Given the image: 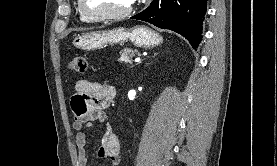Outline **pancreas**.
Here are the masks:
<instances>
[{
  "label": "pancreas",
  "mask_w": 277,
  "mask_h": 166,
  "mask_svg": "<svg viewBox=\"0 0 277 166\" xmlns=\"http://www.w3.org/2000/svg\"><path fill=\"white\" fill-rule=\"evenodd\" d=\"M137 51L132 49H123L120 51V59L121 63H132V58L135 56Z\"/></svg>",
  "instance_id": "1"
}]
</instances>
